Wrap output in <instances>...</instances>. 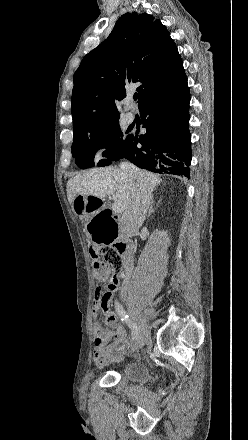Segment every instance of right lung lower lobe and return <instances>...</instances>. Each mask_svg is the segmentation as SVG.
Returning a JSON list of instances; mask_svg holds the SVG:
<instances>
[{
    "label": "right lung lower lobe",
    "instance_id": "right-lung-lower-lobe-1",
    "mask_svg": "<svg viewBox=\"0 0 248 440\" xmlns=\"http://www.w3.org/2000/svg\"><path fill=\"white\" fill-rule=\"evenodd\" d=\"M189 102L186 78L143 101L139 110L147 132L139 138L129 135L130 141L122 158L155 173L165 171L189 178Z\"/></svg>",
    "mask_w": 248,
    "mask_h": 440
}]
</instances>
